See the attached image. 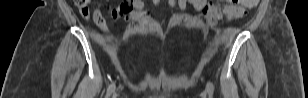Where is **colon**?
<instances>
[{
  "mask_svg": "<svg viewBox=\"0 0 308 98\" xmlns=\"http://www.w3.org/2000/svg\"><path fill=\"white\" fill-rule=\"evenodd\" d=\"M259 0H228L223 4L219 3H207L199 13L206 19L208 24H216L223 18H239L244 12L245 8L255 6ZM75 4L79 8L80 12L84 16H88L90 12V0H75ZM116 16H125L124 20L126 22L131 21H149L150 17L154 15L153 9H131L124 6L123 4L113 11ZM137 16V17H135ZM132 24V23H131ZM139 24V23H136ZM148 24V23H147ZM138 29H144V26H138Z\"/></svg>",
  "mask_w": 308,
  "mask_h": 98,
  "instance_id": "5ec220e1",
  "label": "colon"
}]
</instances>
